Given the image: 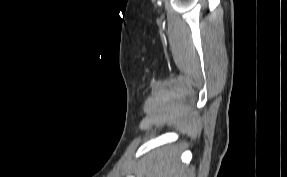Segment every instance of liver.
<instances>
[{
  "instance_id": "obj_1",
  "label": "liver",
  "mask_w": 287,
  "mask_h": 177,
  "mask_svg": "<svg viewBox=\"0 0 287 177\" xmlns=\"http://www.w3.org/2000/svg\"><path fill=\"white\" fill-rule=\"evenodd\" d=\"M182 148L164 146L148 157L141 174L143 177H190L188 168L179 161Z\"/></svg>"
}]
</instances>
